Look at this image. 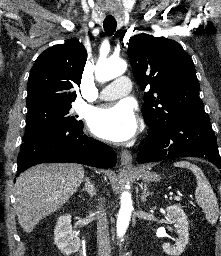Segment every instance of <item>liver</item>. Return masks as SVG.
<instances>
[{
    "label": "liver",
    "instance_id": "liver-1",
    "mask_svg": "<svg viewBox=\"0 0 221 256\" xmlns=\"http://www.w3.org/2000/svg\"><path fill=\"white\" fill-rule=\"evenodd\" d=\"M82 165L41 164L19 175L15 183L16 213L26 233L62 207L84 179Z\"/></svg>",
    "mask_w": 221,
    "mask_h": 256
}]
</instances>
